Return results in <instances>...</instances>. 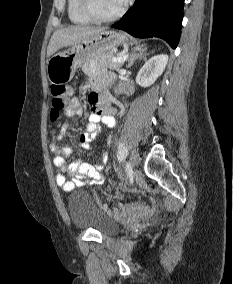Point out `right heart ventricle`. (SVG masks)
Here are the masks:
<instances>
[{"label": "right heart ventricle", "mask_w": 233, "mask_h": 284, "mask_svg": "<svg viewBox=\"0 0 233 284\" xmlns=\"http://www.w3.org/2000/svg\"><path fill=\"white\" fill-rule=\"evenodd\" d=\"M67 13L69 20L74 24L87 25L92 22L83 11L82 0H67Z\"/></svg>", "instance_id": "right-heart-ventricle-1"}]
</instances>
